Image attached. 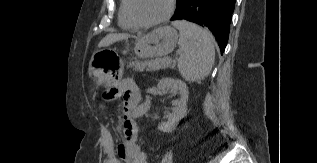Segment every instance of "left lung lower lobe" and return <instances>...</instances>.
Instances as JSON below:
<instances>
[{"mask_svg": "<svg viewBox=\"0 0 317 163\" xmlns=\"http://www.w3.org/2000/svg\"><path fill=\"white\" fill-rule=\"evenodd\" d=\"M235 0H178L171 20H188L209 30L224 52L229 37Z\"/></svg>", "mask_w": 317, "mask_h": 163, "instance_id": "obj_1", "label": "left lung lower lobe"}]
</instances>
